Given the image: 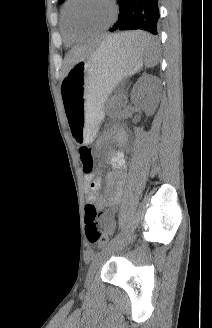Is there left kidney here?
<instances>
[{
    "label": "left kidney",
    "mask_w": 212,
    "mask_h": 328,
    "mask_svg": "<svg viewBox=\"0 0 212 328\" xmlns=\"http://www.w3.org/2000/svg\"><path fill=\"white\" fill-rule=\"evenodd\" d=\"M131 100L134 104H140L147 115H153L159 102L157 77L143 75L133 87Z\"/></svg>",
    "instance_id": "1"
}]
</instances>
